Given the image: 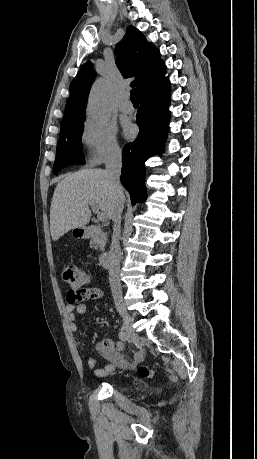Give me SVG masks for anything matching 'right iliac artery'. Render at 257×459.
Returning a JSON list of instances; mask_svg holds the SVG:
<instances>
[{
	"mask_svg": "<svg viewBox=\"0 0 257 459\" xmlns=\"http://www.w3.org/2000/svg\"><path fill=\"white\" fill-rule=\"evenodd\" d=\"M118 335L122 341H127L129 338L128 334L123 329H121Z\"/></svg>",
	"mask_w": 257,
	"mask_h": 459,
	"instance_id": "obj_1",
	"label": "right iliac artery"
}]
</instances>
